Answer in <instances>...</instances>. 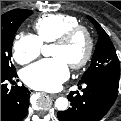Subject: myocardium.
Here are the masks:
<instances>
[{
    "instance_id": "myocardium-1",
    "label": "myocardium",
    "mask_w": 121,
    "mask_h": 121,
    "mask_svg": "<svg viewBox=\"0 0 121 121\" xmlns=\"http://www.w3.org/2000/svg\"><path fill=\"white\" fill-rule=\"evenodd\" d=\"M79 34L84 35L86 39V50L83 57L79 61L70 64V67L73 70L81 69L90 61L94 50V39L92 33L86 26L80 24L68 29L54 41V43L58 45H67Z\"/></svg>"
}]
</instances>
